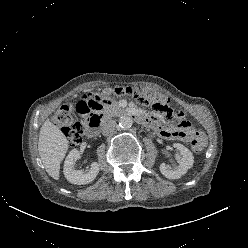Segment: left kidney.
<instances>
[{
    "mask_svg": "<svg viewBox=\"0 0 248 248\" xmlns=\"http://www.w3.org/2000/svg\"><path fill=\"white\" fill-rule=\"evenodd\" d=\"M173 147L180 151L182 158L179 161V166L174 169H171L165 163L160 165L161 173L168 179L180 178L193 166L194 163L193 154L187 147L180 143H174Z\"/></svg>",
    "mask_w": 248,
    "mask_h": 248,
    "instance_id": "5707ae66",
    "label": "left kidney"
}]
</instances>
